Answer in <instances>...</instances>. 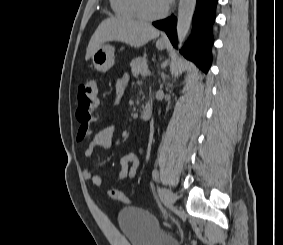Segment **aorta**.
<instances>
[{"label":"aorta","instance_id":"1","mask_svg":"<svg viewBox=\"0 0 283 245\" xmlns=\"http://www.w3.org/2000/svg\"><path fill=\"white\" fill-rule=\"evenodd\" d=\"M196 0H180L177 16L178 47L181 48L191 26Z\"/></svg>","mask_w":283,"mask_h":245}]
</instances>
